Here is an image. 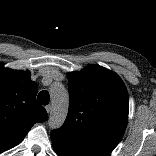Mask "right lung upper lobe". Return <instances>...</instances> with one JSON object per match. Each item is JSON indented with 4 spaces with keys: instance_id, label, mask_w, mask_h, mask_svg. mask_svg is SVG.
Returning <instances> with one entry per match:
<instances>
[{
    "instance_id": "right-lung-upper-lobe-1",
    "label": "right lung upper lobe",
    "mask_w": 156,
    "mask_h": 156,
    "mask_svg": "<svg viewBox=\"0 0 156 156\" xmlns=\"http://www.w3.org/2000/svg\"><path fill=\"white\" fill-rule=\"evenodd\" d=\"M37 92L29 71L7 69L0 63V152L20 143L35 123L48 119L36 101Z\"/></svg>"
}]
</instances>
